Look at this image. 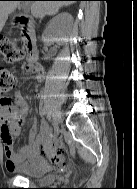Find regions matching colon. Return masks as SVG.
<instances>
[{
  "instance_id": "colon-1",
  "label": "colon",
  "mask_w": 137,
  "mask_h": 189,
  "mask_svg": "<svg viewBox=\"0 0 137 189\" xmlns=\"http://www.w3.org/2000/svg\"><path fill=\"white\" fill-rule=\"evenodd\" d=\"M0 54L4 60L11 65H20L24 61L25 53L16 42L0 37ZM17 86L16 75L5 68H0V101L6 104L11 102L10 92ZM44 155L48 159V164L54 168L64 165V150L61 148L44 149Z\"/></svg>"
}]
</instances>
